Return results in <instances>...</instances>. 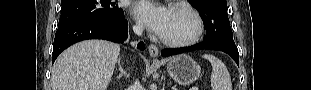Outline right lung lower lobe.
<instances>
[{
    "label": "right lung lower lobe",
    "instance_id": "obj_1",
    "mask_svg": "<svg viewBox=\"0 0 311 90\" xmlns=\"http://www.w3.org/2000/svg\"><path fill=\"white\" fill-rule=\"evenodd\" d=\"M128 25L124 15L113 20L86 19L58 28L52 53V62L72 44L86 39H104L122 43L127 38ZM144 50V43L138 44Z\"/></svg>",
    "mask_w": 311,
    "mask_h": 90
}]
</instances>
